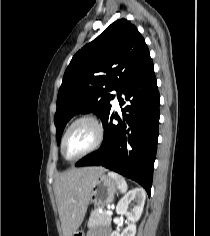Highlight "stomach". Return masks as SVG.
I'll use <instances>...</instances> for the list:
<instances>
[{
  "label": "stomach",
  "mask_w": 210,
  "mask_h": 236,
  "mask_svg": "<svg viewBox=\"0 0 210 236\" xmlns=\"http://www.w3.org/2000/svg\"><path fill=\"white\" fill-rule=\"evenodd\" d=\"M118 190L117 181L108 175H100L93 183L89 194V202L97 207H104L113 201ZM72 236H85L83 231H76Z\"/></svg>",
  "instance_id": "0dacf381"
}]
</instances>
